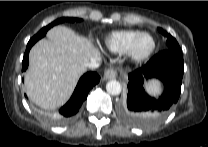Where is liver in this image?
Masks as SVG:
<instances>
[{"instance_id": "6515ba94", "label": "liver", "mask_w": 208, "mask_h": 147, "mask_svg": "<svg viewBox=\"0 0 208 147\" xmlns=\"http://www.w3.org/2000/svg\"><path fill=\"white\" fill-rule=\"evenodd\" d=\"M92 59H100V51L89 39L65 26L51 28L30 50L27 96L46 110L62 106Z\"/></svg>"}]
</instances>
